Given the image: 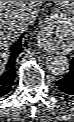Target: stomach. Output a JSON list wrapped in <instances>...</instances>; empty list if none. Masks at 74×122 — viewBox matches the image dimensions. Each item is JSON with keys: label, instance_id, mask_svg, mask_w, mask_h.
I'll return each mask as SVG.
<instances>
[{"label": "stomach", "instance_id": "stomach-1", "mask_svg": "<svg viewBox=\"0 0 74 122\" xmlns=\"http://www.w3.org/2000/svg\"><path fill=\"white\" fill-rule=\"evenodd\" d=\"M57 26H59V23L57 24ZM71 31V30H70ZM72 32V31H71ZM62 33H63V30H58V29H56L55 31H54V34L56 35V36H58V37H60V36H62Z\"/></svg>", "mask_w": 74, "mask_h": 122}]
</instances>
